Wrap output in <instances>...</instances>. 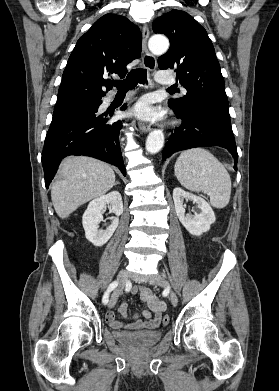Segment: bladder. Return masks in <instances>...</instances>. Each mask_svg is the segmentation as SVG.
I'll return each instance as SVG.
<instances>
[{
    "instance_id": "31cf9c89",
    "label": "bladder",
    "mask_w": 279,
    "mask_h": 391,
    "mask_svg": "<svg viewBox=\"0 0 279 391\" xmlns=\"http://www.w3.org/2000/svg\"><path fill=\"white\" fill-rule=\"evenodd\" d=\"M160 330L114 331V338L120 343L135 349L145 348L158 342Z\"/></svg>"
}]
</instances>
